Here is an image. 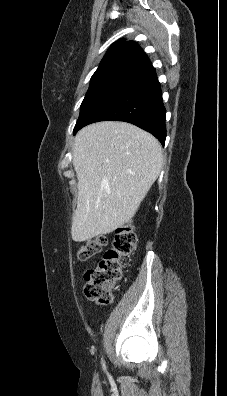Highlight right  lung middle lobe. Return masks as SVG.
Here are the masks:
<instances>
[{
	"label": "right lung middle lobe",
	"mask_w": 227,
	"mask_h": 396,
	"mask_svg": "<svg viewBox=\"0 0 227 396\" xmlns=\"http://www.w3.org/2000/svg\"><path fill=\"white\" fill-rule=\"evenodd\" d=\"M132 73L133 71L127 69H112L94 73L91 78L89 89L81 104L80 115L75 128H77L84 118Z\"/></svg>",
	"instance_id": "1"
}]
</instances>
